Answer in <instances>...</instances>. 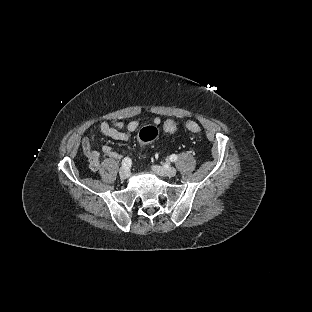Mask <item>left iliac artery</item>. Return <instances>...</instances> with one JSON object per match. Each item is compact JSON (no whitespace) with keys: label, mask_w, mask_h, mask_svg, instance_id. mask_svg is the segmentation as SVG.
Listing matches in <instances>:
<instances>
[{"label":"left iliac artery","mask_w":312,"mask_h":312,"mask_svg":"<svg viewBox=\"0 0 312 312\" xmlns=\"http://www.w3.org/2000/svg\"><path fill=\"white\" fill-rule=\"evenodd\" d=\"M170 161L172 162H175L177 160V155L175 154H172L170 157H169Z\"/></svg>","instance_id":"44dca946"}]
</instances>
